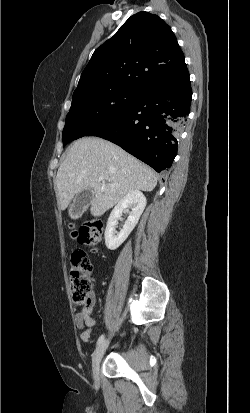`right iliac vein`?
Instances as JSON below:
<instances>
[{
    "mask_svg": "<svg viewBox=\"0 0 250 413\" xmlns=\"http://www.w3.org/2000/svg\"><path fill=\"white\" fill-rule=\"evenodd\" d=\"M109 344L108 340L103 341L95 350L92 358V369H93V375L95 379L99 378V368H100V362L101 359L105 353V350L107 349Z\"/></svg>",
    "mask_w": 250,
    "mask_h": 413,
    "instance_id": "63e3f726",
    "label": "right iliac vein"
}]
</instances>
